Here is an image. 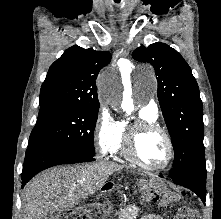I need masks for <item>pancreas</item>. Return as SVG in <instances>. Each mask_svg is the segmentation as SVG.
Wrapping results in <instances>:
<instances>
[{
  "mask_svg": "<svg viewBox=\"0 0 221 219\" xmlns=\"http://www.w3.org/2000/svg\"><path fill=\"white\" fill-rule=\"evenodd\" d=\"M139 213V208L135 205H128L125 208L121 209L117 213L118 219H136Z\"/></svg>",
  "mask_w": 221,
  "mask_h": 219,
  "instance_id": "obj_1",
  "label": "pancreas"
}]
</instances>
